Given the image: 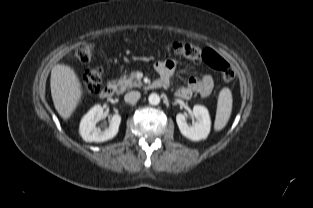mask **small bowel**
Segmentation results:
<instances>
[{"label": "small bowel", "mask_w": 313, "mask_h": 208, "mask_svg": "<svg viewBox=\"0 0 313 208\" xmlns=\"http://www.w3.org/2000/svg\"><path fill=\"white\" fill-rule=\"evenodd\" d=\"M176 68V61L173 59H167L159 61L155 64V69L160 75V80L166 85H169ZM214 87V82L211 76H204L197 78L192 76L189 78L185 86H181L177 89L176 95L182 99H189L194 94H199L202 97L208 96Z\"/></svg>", "instance_id": "1"}]
</instances>
